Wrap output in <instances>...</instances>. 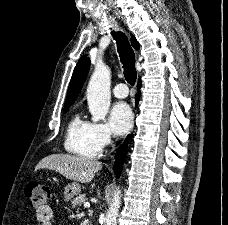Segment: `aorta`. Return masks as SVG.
Returning <instances> with one entry per match:
<instances>
[{
  "mask_svg": "<svg viewBox=\"0 0 228 225\" xmlns=\"http://www.w3.org/2000/svg\"><path fill=\"white\" fill-rule=\"evenodd\" d=\"M111 72L109 66L97 62L87 86V100L92 123L106 121L110 106ZM121 207V191L117 189L106 213V225H117V215Z\"/></svg>",
  "mask_w": 228,
  "mask_h": 225,
  "instance_id": "762f6f07",
  "label": "aorta"
}]
</instances>
